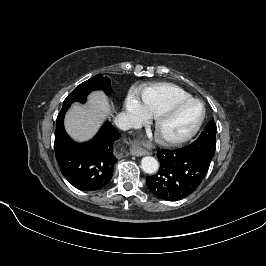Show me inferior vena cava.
I'll return each mask as SVG.
<instances>
[{
	"label": "inferior vena cava",
	"mask_w": 266,
	"mask_h": 266,
	"mask_svg": "<svg viewBox=\"0 0 266 266\" xmlns=\"http://www.w3.org/2000/svg\"><path fill=\"white\" fill-rule=\"evenodd\" d=\"M116 126L121 130H128L130 128H139L140 124L138 120L130 114L120 113L115 117L114 120Z\"/></svg>",
	"instance_id": "inferior-vena-cava-1"
}]
</instances>
